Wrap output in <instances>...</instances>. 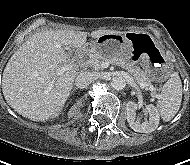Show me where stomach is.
Listing matches in <instances>:
<instances>
[{
	"label": "stomach",
	"instance_id": "0dacf381",
	"mask_svg": "<svg viewBox=\"0 0 190 165\" xmlns=\"http://www.w3.org/2000/svg\"><path fill=\"white\" fill-rule=\"evenodd\" d=\"M90 47L104 57H117L123 64L141 71L149 80L162 81L170 73L167 57L146 35L130 32L104 34L92 41Z\"/></svg>",
	"mask_w": 190,
	"mask_h": 165
}]
</instances>
